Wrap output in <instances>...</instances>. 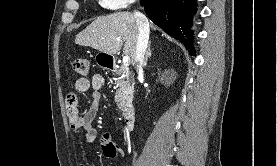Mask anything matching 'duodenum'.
Here are the masks:
<instances>
[{
    "label": "duodenum",
    "mask_w": 277,
    "mask_h": 166,
    "mask_svg": "<svg viewBox=\"0 0 277 166\" xmlns=\"http://www.w3.org/2000/svg\"><path fill=\"white\" fill-rule=\"evenodd\" d=\"M109 69H115L117 64L115 61H109L107 63ZM135 122V111L131 105H126L123 109V123L128 130H132Z\"/></svg>",
    "instance_id": "obj_1"
}]
</instances>
